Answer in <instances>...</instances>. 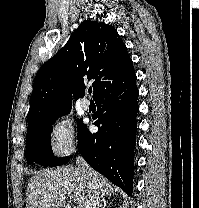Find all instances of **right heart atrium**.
I'll use <instances>...</instances> for the list:
<instances>
[{
	"mask_svg": "<svg viewBox=\"0 0 199 208\" xmlns=\"http://www.w3.org/2000/svg\"><path fill=\"white\" fill-rule=\"evenodd\" d=\"M78 145V135L72 119L61 117L53 123L49 132V148L57 157L73 153Z\"/></svg>",
	"mask_w": 199,
	"mask_h": 208,
	"instance_id": "d8ad5b80",
	"label": "right heart atrium"
}]
</instances>
